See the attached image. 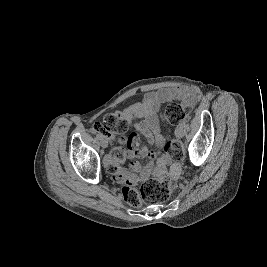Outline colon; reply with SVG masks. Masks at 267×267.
Segmentation results:
<instances>
[{
    "label": "colon",
    "instance_id": "5ec220e1",
    "mask_svg": "<svg viewBox=\"0 0 267 267\" xmlns=\"http://www.w3.org/2000/svg\"><path fill=\"white\" fill-rule=\"evenodd\" d=\"M191 106L187 103H172L169 104L163 113L164 120L170 125H177L189 117ZM102 127L104 130L113 133L117 136V141L120 145L131 142L125 137L129 129L127 120L118 112H112L105 115ZM165 152L178 162L183 159L184 149L182 143L175 138H168L165 143ZM123 156V149L116 148L113 153V159H120ZM124 199L132 206H136L141 200L147 202L162 203L167 201L172 193V183L165 175L148 180L138 191L130 185H124L122 188Z\"/></svg>",
    "mask_w": 267,
    "mask_h": 267
}]
</instances>
